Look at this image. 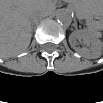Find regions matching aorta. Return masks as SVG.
I'll list each match as a JSON object with an SVG mask.
<instances>
[{
  "mask_svg": "<svg viewBox=\"0 0 103 103\" xmlns=\"http://www.w3.org/2000/svg\"><path fill=\"white\" fill-rule=\"evenodd\" d=\"M56 20L63 26H68L72 22V14L68 9H59L56 13Z\"/></svg>",
  "mask_w": 103,
  "mask_h": 103,
  "instance_id": "1",
  "label": "aorta"
}]
</instances>
